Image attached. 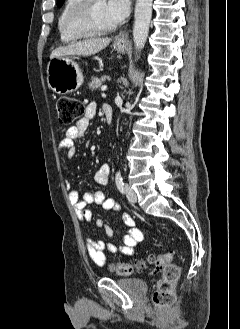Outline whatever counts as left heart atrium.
<instances>
[{
	"instance_id": "39dd6f15",
	"label": "left heart atrium",
	"mask_w": 240,
	"mask_h": 329,
	"mask_svg": "<svg viewBox=\"0 0 240 329\" xmlns=\"http://www.w3.org/2000/svg\"><path fill=\"white\" fill-rule=\"evenodd\" d=\"M107 12L115 23L124 20L130 12V0H108Z\"/></svg>"
}]
</instances>
